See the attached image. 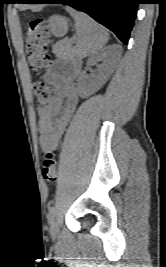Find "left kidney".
Wrapping results in <instances>:
<instances>
[{
	"mask_svg": "<svg viewBox=\"0 0 166 267\" xmlns=\"http://www.w3.org/2000/svg\"><path fill=\"white\" fill-rule=\"evenodd\" d=\"M99 59H103L105 63L104 65L99 66L98 76L94 80H92L88 84L85 83V73H81L80 77L78 78V89L81 97L83 98H87L98 90H100L101 87L107 82L112 73V66L108 58L107 49L93 54L92 57L89 59V63H96Z\"/></svg>",
	"mask_w": 166,
	"mask_h": 267,
	"instance_id": "1",
	"label": "left kidney"
}]
</instances>
